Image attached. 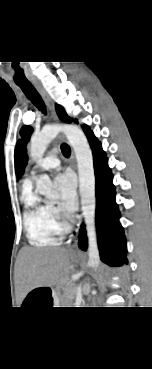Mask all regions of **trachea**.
<instances>
[{"mask_svg":"<svg viewBox=\"0 0 152 369\" xmlns=\"http://www.w3.org/2000/svg\"><path fill=\"white\" fill-rule=\"evenodd\" d=\"M18 86L40 111H42L43 113L46 112V107L41 96L31 83H19ZM61 151L65 157H69L71 154V149L67 144L61 145Z\"/></svg>","mask_w":152,"mask_h":369,"instance_id":"obj_1","label":"trachea"}]
</instances>
